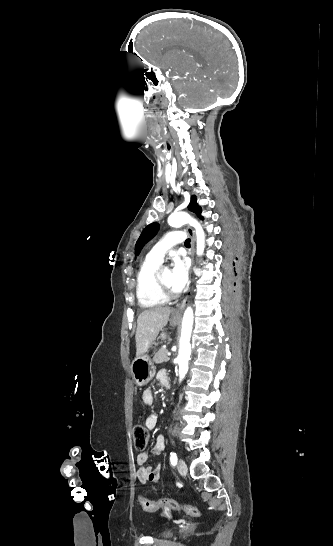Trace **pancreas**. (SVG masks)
I'll use <instances>...</instances> for the list:
<instances>
[{"label": "pancreas", "instance_id": "1", "mask_svg": "<svg viewBox=\"0 0 333 546\" xmlns=\"http://www.w3.org/2000/svg\"><path fill=\"white\" fill-rule=\"evenodd\" d=\"M167 349L160 348L154 355L153 361L157 364H161L164 362L169 361V357L167 356Z\"/></svg>", "mask_w": 333, "mask_h": 546}]
</instances>
